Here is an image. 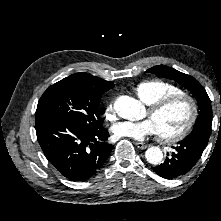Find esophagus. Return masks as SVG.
<instances>
[{
	"instance_id": "esophagus-1",
	"label": "esophagus",
	"mask_w": 221,
	"mask_h": 221,
	"mask_svg": "<svg viewBox=\"0 0 221 221\" xmlns=\"http://www.w3.org/2000/svg\"><path fill=\"white\" fill-rule=\"evenodd\" d=\"M136 146L139 148V149H146L147 148V145L142 143V142H137L136 143Z\"/></svg>"
}]
</instances>
